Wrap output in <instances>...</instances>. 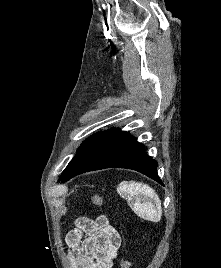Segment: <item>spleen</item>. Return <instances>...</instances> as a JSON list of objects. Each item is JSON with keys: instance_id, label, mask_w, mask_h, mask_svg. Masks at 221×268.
Listing matches in <instances>:
<instances>
[{"instance_id": "obj_1", "label": "spleen", "mask_w": 221, "mask_h": 268, "mask_svg": "<svg viewBox=\"0 0 221 268\" xmlns=\"http://www.w3.org/2000/svg\"><path fill=\"white\" fill-rule=\"evenodd\" d=\"M117 192L128 201L139 217L153 222L161 220V201L149 185L136 181H123L117 187Z\"/></svg>"}]
</instances>
